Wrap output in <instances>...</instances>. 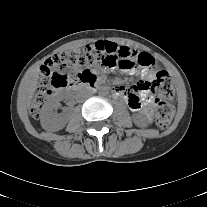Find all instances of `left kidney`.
<instances>
[{
  "mask_svg": "<svg viewBox=\"0 0 207 207\" xmlns=\"http://www.w3.org/2000/svg\"><path fill=\"white\" fill-rule=\"evenodd\" d=\"M132 119H133L134 124L138 127L144 128L148 126L147 119L141 114H134Z\"/></svg>",
  "mask_w": 207,
  "mask_h": 207,
  "instance_id": "left-kidney-1",
  "label": "left kidney"
}]
</instances>
